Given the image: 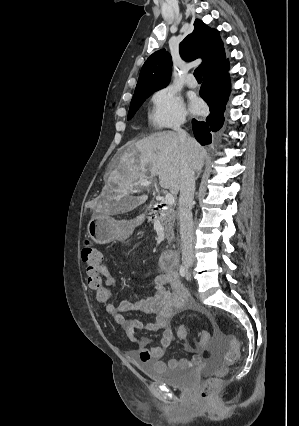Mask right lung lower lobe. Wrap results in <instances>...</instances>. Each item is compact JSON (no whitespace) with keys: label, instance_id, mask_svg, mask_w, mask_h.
I'll use <instances>...</instances> for the list:
<instances>
[{"label":"right lung lower lobe","instance_id":"obj_1","mask_svg":"<svg viewBox=\"0 0 299 426\" xmlns=\"http://www.w3.org/2000/svg\"><path fill=\"white\" fill-rule=\"evenodd\" d=\"M229 62L225 60L203 73L204 81L200 96L208 104L210 114L205 121H192L195 138L201 145L212 142V133L217 132L224 122V111L230 94Z\"/></svg>","mask_w":299,"mask_h":426}]
</instances>
